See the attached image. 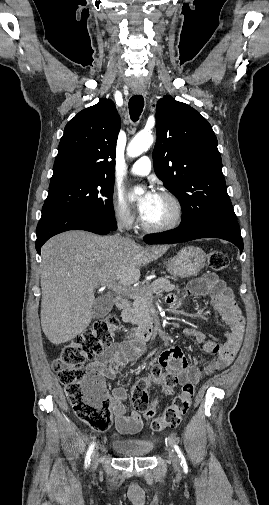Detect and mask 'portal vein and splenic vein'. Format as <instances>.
Here are the masks:
<instances>
[{"label": "portal vein and splenic vein", "mask_w": 269, "mask_h": 505, "mask_svg": "<svg viewBox=\"0 0 269 505\" xmlns=\"http://www.w3.org/2000/svg\"><path fill=\"white\" fill-rule=\"evenodd\" d=\"M106 286L117 293H132L135 290L128 289L127 286L118 285L116 283L107 284Z\"/></svg>", "instance_id": "portal-vein-and-splenic-vein-1"}]
</instances>
